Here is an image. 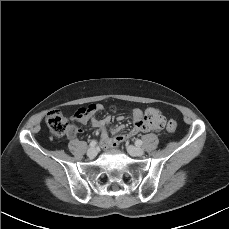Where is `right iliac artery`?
<instances>
[{
	"mask_svg": "<svg viewBox=\"0 0 229 229\" xmlns=\"http://www.w3.org/2000/svg\"><path fill=\"white\" fill-rule=\"evenodd\" d=\"M89 145H90V147H95L97 145V141L92 140Z\"/></svg>",
	"mask_w": 229,
	"mask_h": 229,
	"instance_id": "right-iliac-artery-1",
	"label": "right iliac artery"
}]
</instances>
